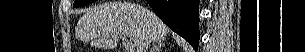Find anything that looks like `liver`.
Returning <instances> with one entry per match:
<instances>
[{
	"label": "liver",
	"instance_id": "obj_1",
	"mask_svg": "<svg viewBox=\"0 0 305 52\" xmlns=\"http://www.w3.org/2000/svg\"><path fill=\"white\" fill-rule=\"evenodd\" d=\"M76 31L81 39L98 48L114 49L119 37H128L138 50L145 39L165 40L169 28L146 8L113 2L89 9L78 21Z\"/></svg>",
	"mask_w": 305,
	"mask_h": 52
}]
</instances>
